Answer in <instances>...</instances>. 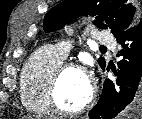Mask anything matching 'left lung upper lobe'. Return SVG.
I'll list each match as a JSON object with an SVG mask.
<instances>
[{
  "label": "left lung upper lobe",
  "mask_w": 142,
  "mask_h": 119,
  "mask_svg": "<svg viewBox=\"0 0 142 119\" xmlns=\"http://www.w3.org/2000/svg\"><path fill=\"white\" fill-rule=\"evenodd\" d=\"M88 14L98 15L94 25L100 29L108 27L101 21L102 18L110 23L114 36L120 35L141 20L140 8L131 0H64L45 15L44 30H56L80 15ZM98 63L102 69L105 68L104 58H99Z\"/></svg>",
  "instance_id": "5c2ea615"
}]
</instances>
